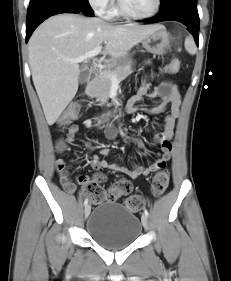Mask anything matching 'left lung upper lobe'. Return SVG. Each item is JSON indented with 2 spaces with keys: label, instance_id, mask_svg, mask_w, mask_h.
Returning a JSON list of instances; mask_svg holds the SVG:
<instances>
[{
  "label": "left lung upper lobe",
  "instance_id": "5c2ea615",
  "mask_svg": "<svg viewBox=\"0 0 231 281\" xmlns=\"http://www.w3.org/2000/svg\"><path fill=\"white\" fill-rule=\"evenodd\" d=\"M165 1H167V0H162V2H165Z\"/></svg>",
  "mask_w": 231,
  "mask_h": 281
}]
</instances>
